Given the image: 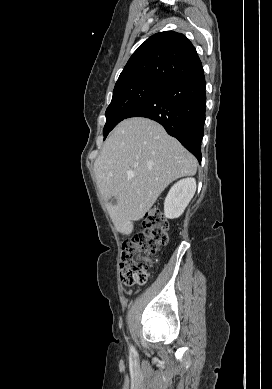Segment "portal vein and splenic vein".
Instances as JSON below:
<instances>
[{
	"mask_svg": "<svg viewBox=\"0 0 272 389\" xmlns=\"http://www.w3.org/2000/svg\"><path fill=\"white\" fill-rule=\"evenodd\" d=\"M127 175H128V177H134L135 176V174L133 173V172H127Z\"/></svg>",
	"mask_w": 272,
	"mask_h": 389,
	"instance_id": "obj_1",
	"label": "portal vein and splenic vein"
}]
</instances>
